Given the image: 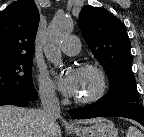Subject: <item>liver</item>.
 <instances>
[{
  "label": "liver",
  "mask_w": 144,
  "mask_h": 137,
  "mask_svg": "<svg viewBox=\"0 0 144 137\" xmlns=\"http://www.w3.org/2000/svg\"><path fill=\"white\" fill-rule=\"evenodd\" d=\"M99 119L80 121L91 124ZM0 137H61L56 121L48 126L42 110L25 109L13 105L0 106Z\"/></svg>",
  "instance_id": "1"
}]
</instances>
